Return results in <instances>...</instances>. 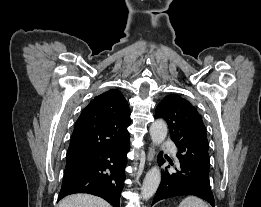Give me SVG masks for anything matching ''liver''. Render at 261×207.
I'll return each instance as SVG.
<instances>
[{
    "label": "liver",
    "mask_w": 261,
    "mask_h": 207,
    "mask_svg": "<svg viewBox=\"0 0 261 207\" xmlns=\"http://www.w3.org/2000/svg\"><path fill=\"white\" fill-rule=\"evenodd\" d=\"M58 207H112L102 198L90 194H73L63 198Z\"/></svg>",
    "instance_id": "1"
}]
</instances>
